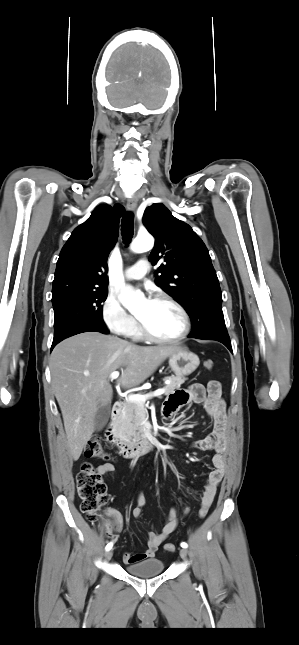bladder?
I'll return each instance as SVG.
<instances>
[{
    "instance_id": "bladder-1",
    "label": "bladder",
    "mask_w": 299,
    "mask_h": 645,
    "mask_svg": "<svg viewBox=\"0 0 299 645\" xmlns=\"http://www.w3.org/2000/svg\"><path fill=\"white\" fill-rule=\"evenodd\" d=\"M164 562L158 558L147 559L126 566V571L137 577L156 576L163 572Z\"/></svg>"
}]
</instances>
